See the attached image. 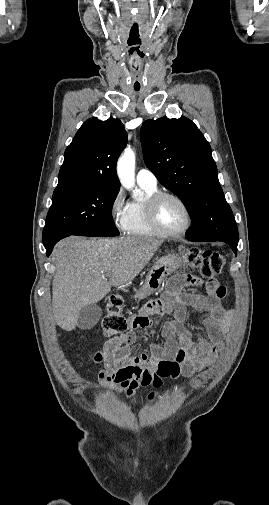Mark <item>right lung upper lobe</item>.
Wrapping results in <instances>:
<instances>
[{
    "label": "right lung upper lobe",
    "instance_id": "obj_1",
    "mask_svg": "<svg viewBox=\"0 0 269 505\" xmlns=\"http://www.w3.org/2000/svg\"><path fill=\"white\" fill-rule=\"evenodd\" d=\"M126 142L127 133L119 119H88L65 150L57 188L69 185L119 188L116 162Z\"/></svg>",
    "mask_w": 269,
    "mask_h": 505
}]
</instances>
